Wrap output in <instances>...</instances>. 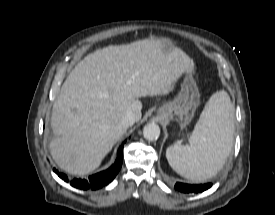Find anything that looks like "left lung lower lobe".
<instances>
[{"label": "left lung lower lobe", "instance_id": "1", "mask_svg": "<svg viewBox=\"0 0 275 215\" xmlns=\"http://www.w3.org/2000/svg\"><path fill=\"white\" fill-rule=\"evenodd\" d=\"M211 186H212L211 183L191 185V184L177 182L174 187L176 190L183 193H200L209 189Z\"/></svg>", "mask_w": 275, "mask_h": 215}]
</instances>
